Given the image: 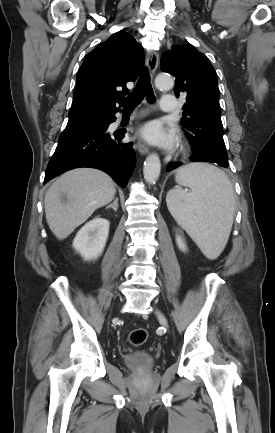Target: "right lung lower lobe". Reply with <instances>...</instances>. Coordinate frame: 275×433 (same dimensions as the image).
Segmentation results:
<instances>
[{"instance_id":"obj_1","label":"right lung lower lobe","mask_w":275,"mask_h":433,"mask_svg":"<svg viewBox=\"0 0 275 433\" xmlns=\"http://www.w3.org/2000/svg\"><path fill=\"white\" fill-rule=\"evenodd\" d=\"M114 114H96L93 122L66 128L47 165L45 182L74 168L92 167L108 173L124 188L136 158L132 143H120L125 130L106 132L116 120Z\"/></svg>"}]
</instances>
